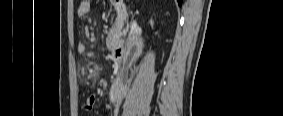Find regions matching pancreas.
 <instances>
[{"mask_svg":"<svg viewBox=\"0 0 283 116\" xmlns=\"http://www.w3.org/2000/svg\"><path fill=\"white\" fill-rule=\"evenodd\" d=\"M128 32V28H122L120 25L114 24L112 28L109 30L107 38H106V46L109 50H112L118 40L121 37H124Z\"/></svg>","mask_w":283,"mask_h":116,"instance_id":"obj_1","label":"pancreas"}]
</instances>
